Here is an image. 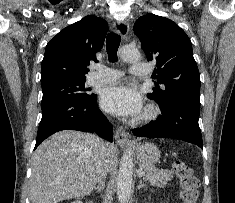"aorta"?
<instances>
[{
  "mask_svg": "<svg viewBox=\"0 0 235 203\" xmlns=\"http://www.w3.org/2000/svg\"><path fill=\"white\" fill-rule=\"evenodd\" d=\"M120 58L125 62H137L140 60V52L133 47L125 46L119 50ZM133 181V159L130 154L124 155L119 167L117 194L120 203H126Z\"/></svg>",
  "mask_w": 235,
  "mask_h": 203,
  "instance_id": "obj_1",
  "label": "aorta"
}]
</instances>
